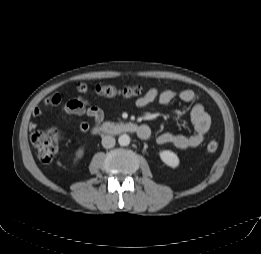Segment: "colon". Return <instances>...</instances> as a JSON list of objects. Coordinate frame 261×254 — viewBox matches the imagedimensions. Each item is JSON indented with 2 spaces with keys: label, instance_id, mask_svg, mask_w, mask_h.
<instances>
[{
  "label": "colon",
  "instance_id": "1",
  "mask_svg": "<svg viewBox=\"0 0 261 254\" xmlns=\"http://www.w3.org/2000/svg\"><path fill=\"white\" fill-rule=\"evenodd\" d=\"M79 90L106 98H132L142 93V89L138 86L117 87L110 84H98L93 89L81 84ZM31 141L39 158L44 163H51L57 154L61 134L56 129L35 130L31 135ZM206 149L209 153H215L218 150V144L215 141H211L207 144Z\"/></svg>",
  "mask_w": 261,
  "mask_h": 254
}]
</instances>
